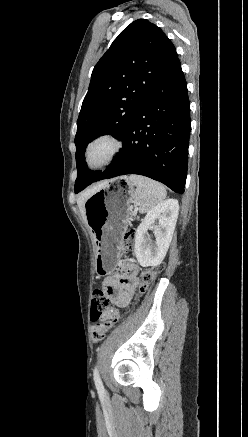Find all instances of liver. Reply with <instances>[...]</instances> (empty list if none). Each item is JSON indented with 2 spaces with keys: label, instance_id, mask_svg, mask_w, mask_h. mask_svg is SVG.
Returning a JSON list of instances; mask_svg holds the SVG:
<instances>
[{
  "label": "liver",
  "instance_id": "6515ba94",
  "mask_svg": "<svg viewBox=\"0 0 248 437\" xmlns=\"http://www.w3.org/2000/svg\"><path fill=\"white\" fill-rule=\"evenodd\" d=\"M104 184H99V185H97V186H94V187H92V188H90V189H88V190H86V191H84V192H82L81 194H80V196L78 197V199H77V204H78V206H79V209H80V212H81V214H82V216H83V218L86 220V218H85V208H84V204H85V201L94 193V192H96L97 190H99L102 186H103Z\"/></svg>",
  "mask_w": 248,
  "mask_h": 437
}]
</instances>
